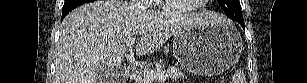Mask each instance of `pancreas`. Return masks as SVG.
<instances>
[{
    "label": "pancreas",
    "instance_id": "pancreas-1",
    "mask_svg": "<svg viewBox=\"0 0 307 83\" xmlns=\"http://www.w3.org/2000/svg\"><path fill=\"white\" fill-rule=\"evenodd\" d=\"M155 73L163 74L166 78H170L172 80H177L184 77L183 72L176 67H170L163 69L160 65H156L153 70ZM136 83H145L143 79V71L139 72L136 77Z\"/></svg>",
    "mask_w": 307,
    "mask_h": 83
}]
</instances>
